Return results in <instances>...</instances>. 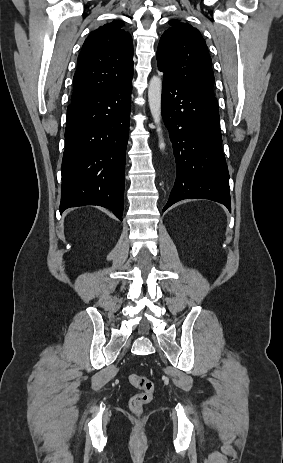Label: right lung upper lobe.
<instances>
[{
  "instance_id": "obj_1",
  "label": "right lung upper lobe",
  "mask_w": 283,
  "mask_h": 463,
  "mask_svg": "<svg viewBox=\"0 0 283 463\" xmlns=\"http://www.w3.org/2000/svg\"><path fill=\"white\" fill-rule=\"evenodd\" d=\"M123 26L114 20L87 37L78 56L71 101L132 80L133 43Z\"/></svg>"
}]
</instances>
